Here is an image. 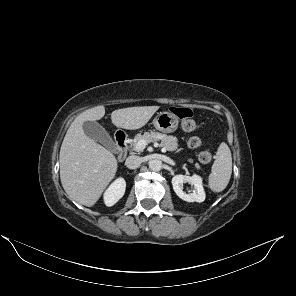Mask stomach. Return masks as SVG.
I'll list each match as a JSON object with an SVG mask.
<instances>
[{
  "label": "stomach",
  "mask_w": 296,
  "mask_h": 296,
  "mask_svg": "<svg viewBox=\"0 0 296 296\" xmlns=\"http://www.w3.org/2000/svg\"><path fill=\"white\" fill-rule=\"evenodd\" d=\"M154 127L163 133H172L178 128V117L172 112H160L153 120Z\"/></svg>",
  "instance_id": "stomach-1"
}]
</instances>
